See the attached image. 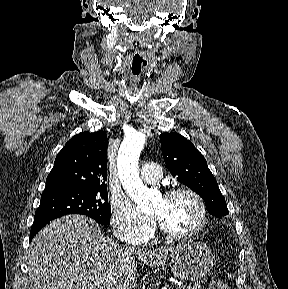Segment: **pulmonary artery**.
I'll use <instances>...</instances> for the list:
<instances>
[{
    "label": "pulmonary artery",
    "instance_id": "pulmonary-artery-1",
    "mask_svg": "<svg viewBox=\"0 0 288 289\" xmlns=\"http://www.w3.org/2000/svg\"><path fill=\"white\" fill-rule=\"evenodd\" d=\"M141 178L149 183H157L162 177V170L160 166L154 162H148L142 165L140 169Z\"/></svg>",
    "mask_w": 288,
    "mask_h": 289
}]
</instances>
